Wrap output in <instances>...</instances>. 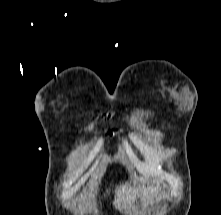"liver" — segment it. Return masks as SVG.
<instances>
[{"instance_id": "1", "label": "liver", "mask_w": 221, "mask_h": 215, "mask_svg": "<svg viewBox=\"0 0 221 215\" xmlns=\"http://www.w3.org/2000/svg\"><path fill=\"white\" fill-rule=\"evenodd\" d=\"M140 192L144 199L151 201L153 195H155L157 199L156 189L152 187L143 188V190H141L140 188H131L127 184H123L118 186L115 190L113 205L121 213L130 214V209L135 208V201L140 197Z\"/></svg>"}]
</instances>
